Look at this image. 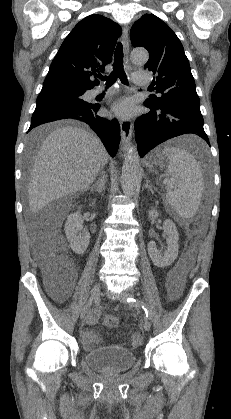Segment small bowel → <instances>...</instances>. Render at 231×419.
I'll return each mask as SVG.
<instances>
[{
  "mask_svg": "<svg viewBox=\"0 0 231 419\" xmlns=\"http://www.w3.org/2000/svg\"><path fill=\"white\" fill-rule=\"evenodd\" d=\"M74 280H75V274L73 272V275L70 278V280L68 281L67 286L61 291V295H60L61 298L67 293L68 287H70L73 284ZM178 294H179V286L176 283V281L171 280L169 282V299H170V301L175 300L177 298ZM100 315H101V311L96 309V310L92 311L88 315L86 320L84 321V326L81 330V336H82L83 345L87 349H90L98 339L95 331L91 330L89 327L94 326L98 322V319H99Z\"/></svg>",
  "mask_w": 231,
  "mask_h": 419,
  "instance_id": "c3829d8e",
  "label": "small bowel"
}]
</instances>
